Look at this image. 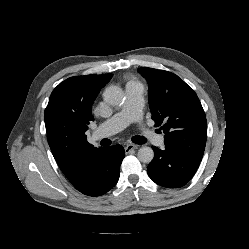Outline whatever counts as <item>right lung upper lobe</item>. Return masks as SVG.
<instances>
[{
	"label": "right lung upper lobe",
	"mask_w": 249,
	"mask_h": 249,
	"mask_svg": "<svg viewBox=\"0 0 249 249\" xmlns=\"http://www.w3.org/2000/svg\"><path fill=\"white\" fill-rule=\"evenodd\" d=\"M112 74L75 76L51 93L44 120L52 154L64 175L73 180L79 164L100 152L87 142V124L93 121L92 104Z\"/></svg>",
	"instance_id": "right-lung-upper-lobe-1"
}]
</instances>
